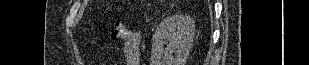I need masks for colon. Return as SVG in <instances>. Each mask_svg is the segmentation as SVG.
<instances>
[{"instance_id":"1","label":"colon","mask_w":309,"mask_h":65,"mask_svg":"<svg viewBox=\"0 0 309 65\" xmlns=\"http://www.w3.org/2000/svg\"><path fill=\"white\" fill-rule=\"evenodd\" d=\"M127 35L125 26L120 22H115L109 30V36L112 40L124 39Z\"/></svg>"}]
</instances>
